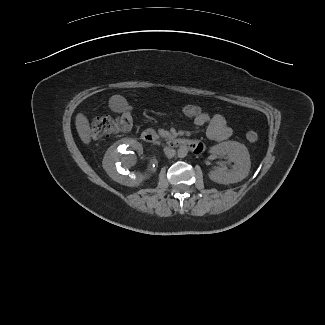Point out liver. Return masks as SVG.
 <instances>
[{
	"label": "liver",
	"instance_id": "1",
	"mask_svg": "<svg viewBox=\"0 0 325 325\" xmlns=\"http://www.w3.org/2000/svg\"><path fill=\"white\" fill-rule=\"evenodd\" d=\"M128 104L121 95H113L109 99V107L115 112L125 110ZM76 129L82 142L86 145L91 143V128L88 118L83 113H78L75 120Z\"/></svg>",
	"mask_w": 325,
	"mask_h": 325
}]
</instances>
